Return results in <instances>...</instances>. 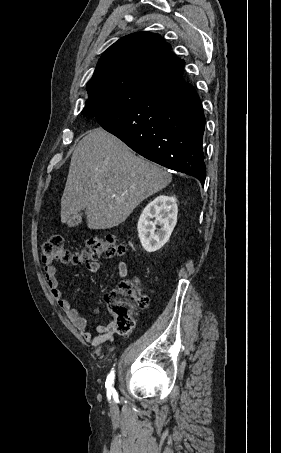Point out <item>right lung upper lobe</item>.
<instances>
[{
    "label": "right lung upper lobe",
    "instance_id": "right-lung-upper-lobe-1",
    "mask_svg": "<svg viewBox=\"0 0 281 453\" xmlns=\"http://www.w3.org/2000/svg\"><path fill=\"white\" fill-rule=\"evenodd\" d=\"M184 77V60L171 52L159 34L139 32L110 46L87 83L89 98L81 113L92 107L129 101L161 83Z\"/></svg>",
    "mask_w": 281,
    "mask_h": 453
}]
</instances>
